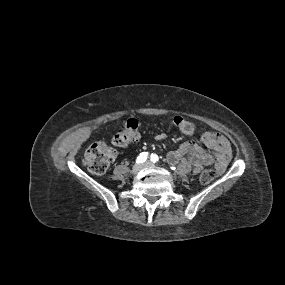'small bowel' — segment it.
<instances>
[{
  "instance_id": "obj_1",
  "label": "small bowel",
  "mask_w": 285,
  "mask_h": 285,
  "mask_svg": "<svg viewBox=\"0 0 285 285\" xmlns=\"http://www.w3.org/2000/svg\"><path fill=\"white\" fill-rule=\"evenodd\" d=\"M165 138V133L155 136L157 141ZM202 140L207 147L213 150L212 153L207 152L196 141L190 140L182 143L177 149L170 151L167 154L168 162L177 164L182 157L188 156L196 172L200 171L204 166L213 164L219 173H223L232 156L230 142L224 135L211 131L205 132Z\"/></svg>"
}]
</instances>
